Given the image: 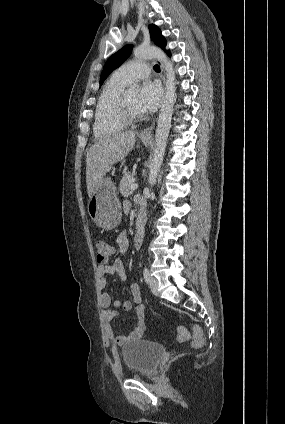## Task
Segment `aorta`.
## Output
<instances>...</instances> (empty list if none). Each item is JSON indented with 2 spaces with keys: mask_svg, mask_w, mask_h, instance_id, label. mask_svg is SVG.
Returning a JSON list of instances; mask_svg holds the SVG:
<instances>
[{
  "mask_svg": "<svg viewBox=\"0 0 285 424\" xmlns=\"http://www.w3.org/2000/svg\"><path fill=\"white\" fill-rule=\"evenodd\" d=\"M133 53L135 59L138 60L157 59L163 65L166 72V92L157 120L155 149L148 179L149 184L154 186L156 184L157 176L163 162L166 143L171 127L176 91L175 71L173 69V64L167 59L164 52L157 47L139 46L134 49ZM137 91L138 85L132 84L129 88V92L136 93Z\"/></svg>",
  "mask_w": 285,
  "mask_h": 424,
  "instance_id": "aorta-1",
  "label": "aorta"
}]
</instances>
